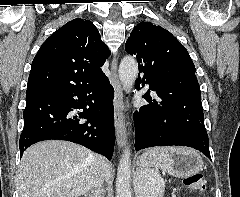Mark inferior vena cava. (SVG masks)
<instances>
[{
    "instance_id": "obj_1",
    "label": "inferior vena cava",
    "mask_w": 240,
    "mask_h": 197,
    "mask_svg": "<svg viewBox=\"0 0 240 197\" xmlns=\"http://www.w3.org/2000/svg\"><path fill=\"white\" fill-rule=\"evenodd\" d=\"M97 170L93 179V187L95 191H103L102 184L107 176V163L103 156L97 157Z\"/></svg>"
}]
</instances>
